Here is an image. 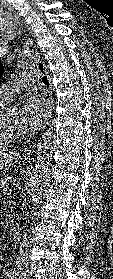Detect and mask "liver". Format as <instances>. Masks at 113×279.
Instances as JSON below:
<instances>
[{"instance_id":"obj_1","label":"liver","mask_w":113,"mask_h":279,"mask_svg":"<svg viewBox=\"0 0 113 279\" xmlns=\"http://www.w3.org/2000/svg\"><path fill=\"white\" fill-rule=\"evenodd\" d=\"M19 154L12 151H0V170L3 168L11 167L14 162H17Z\"/></svg>"}]
</instances>
